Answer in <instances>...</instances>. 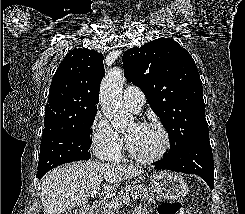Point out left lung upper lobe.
<instances>
[{
  "mask_svg": "<svg viewBox=\"0 0 245 214\" xmlns=\"http://www.w3.org/2000/svg\"><path fill=\"white\" fill-rule=\"evenodd\" d=\"M125 77L145 94L160 118L174 153L208 139L202 82L191 55L177 42L159 38L123 54Z\"/></svg>",
  "mask_w": 245,
  "mask_h": 214,
  "instance_id": "1",
  "label": "left lung upper lobe"
}]
</instances>
